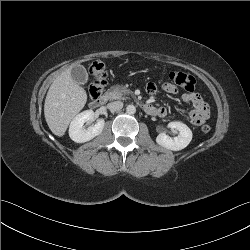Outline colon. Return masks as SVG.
Wrapping results in <instances>:
<instances>
[{
  "mask_svg": "<svg viewBox=\"0 0 250 250\" xmlns=\"http://www.w3.org/2000/svg\"><path fill=\"white\" fill-rule=\"evenodd\" d=\"M89 72L93 77V81L89 86V94L91 98H96L101 95L107 84L108 73L104 62L100 60L94 61L90 65ZM168 77L174 85H178L188 92H193L195 89V78L187 73L171 71ZM201 129L204 133H208L211 127L208 124H204Z\"/></svg>",
  "mask_w": 250,
  "mask_h": 250,
  "instance_id": "1",
  "label": "colon"
}]
</instances>
